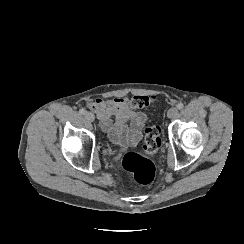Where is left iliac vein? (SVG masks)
<instances>
[{
	"mask_svg": "<svg viewBox=\"0 0 244 244\" xmlns=\"http://www.w3.org/2000/svg\"><path fill=\"white\" fill-rule=\"evenodd\" d=\"M177 114H178V110H177L176 108L172 107V108H170V109L168 110V112H167V117H168V118H174V117L177 116Z\"/></svg>",
	"mask_w": 244,
	"mask_h": 244,
	"instance_id": "left-iliac-vein-1",
	"label": "left iliac vein"
}]
</instances>
